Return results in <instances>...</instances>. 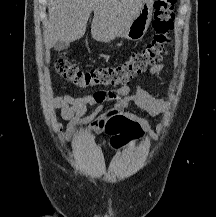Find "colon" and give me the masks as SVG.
I'll use <instances>...</instances> for the list:
<instances>
[{"label": "colon", "instance_id": "obj_1", "mask_svg": "<svg viewBox=\"0 0 216 217\" xmlns=\"http://www.w3.org/2000/svg\"><path fill=\"white\" fill-rule=\"evenodd\" d=\"M176 0H156L154 5V36L143 49L131 53L122 63L81 70L77 65L61 56L55 60L57 73L67 81L80 87H94L123 84L160 62L167 54L171 43L170 33L174 27V6ZM111 145L120 148L131 138L141 136V130L129 119L121 117L107 125Z\"/></svg>", "mask_w": 216, "mask_h": 217}]
</instances>
